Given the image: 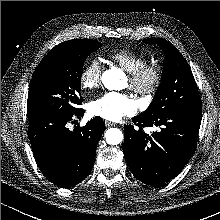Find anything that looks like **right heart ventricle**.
I'll list each match as a JSON object with an SVG mask.
<instances>
[{"label":"right heart ventricle","instance_id":"e07e8e85","mask_svg":"<svg viewBox=\"0 0 220 220\" xmlns=\"http://www.w3.org/2000/svg\"><path fill=\"white\" fill-rule=\"evenodd\" d=\"M109 59L129 73L147 63L144 56L127 48L112 51L109 54Z\"/></svg>","mask_w":220,"mask_h":220}]
</instances>
